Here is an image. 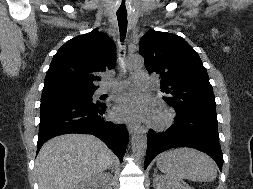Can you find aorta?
<instances>
[{
  "label": "aorta",
  "mask_w": 253,
  "mask_h": 189,
  "mask_svg": "<svg viewBox=\"0 0 253 189\" xmlns=\"http://www.w3.org/2000/svg\"><path fill=\"white\" fill-rule=\"evenodd\" d=\"M143 59L140 56H132L128 60V67L137 69L143 66ZM132 152L138 159L143 158L147 149V134L145 129L138 128L132 136Z\"/></svg>",
  "instance_id": "aorta-1"
}]
</instances>
